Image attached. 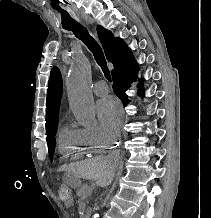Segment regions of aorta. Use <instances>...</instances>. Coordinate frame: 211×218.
I'll use <instances>...</instances> for the list:
<instances>
[{
	"instance_id": "aorta-1",
	"label": "aorta",
	"mask_w": 211,
	"mask_h": 218,
	"mask_svg": "<svg viewBox=\"0 0 211 218\" xmlns=\"http://www.w3.org/2000/svg\"><path fill=\"white\" fill-rule=\"evenodd\" d=\"M91 66L86 58H77L72 64L66 81L71 110L84 127H92L95 122V105L90 89ZM99 217L98 214L93 216Z\"/></svg>"
}]
</instances>
